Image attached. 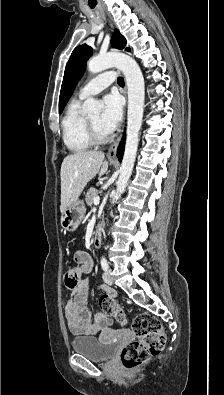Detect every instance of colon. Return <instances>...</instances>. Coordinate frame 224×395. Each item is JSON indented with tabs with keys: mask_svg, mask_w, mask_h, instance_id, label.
<instances>
[{
	"mask_svg": "<svg viewBox=\"0 0 224 395\" xmlns=\"http://www.w3.org/2000/svg\"><path fill=\"white\" fill-rule=\"evenodd\" d=\"M80 278V270L70 266L66 272L67 286L74 288ZM102 312L111 315L122 324H127V316L118 302L110 295H104L99 301ZM136 339L126 344L120 352V361L127 369L138 367L151 356L158 355L166 343V334L161 323L152 315L139 314L132 323Z\"/></svg>",
	"mask_w": 224,
	"mask_h": 395,
	"instance_id": "5ec220e1",
	"label": "colon"
}]
</instances>
